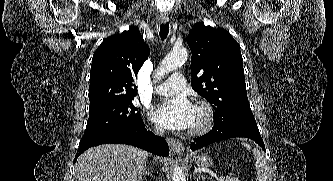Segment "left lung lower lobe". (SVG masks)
I'll list each match as a JSON object with an SVG mask.
<instances>
[{"label":"left lung lower lobe","mask_w":333,"mask_h":181,"mask_svg":"<svg viewBox=\"0 0 333 181\" xmlns=\"http://www.w3.org/2000/svg\"><path fill=\"white\" fill-rule=\"evenodd\" d=\"M214 126L207 134L194 139L191 143V149L197 150L211 143L234 138L246 137L254 140L265 151V146L260 134L239 130L237 124L226 115L214 116Z\"/></svg>","instance_id":"0a47b994"}]
</instances>
